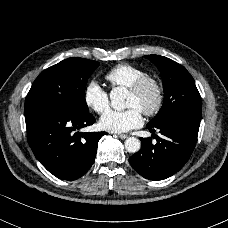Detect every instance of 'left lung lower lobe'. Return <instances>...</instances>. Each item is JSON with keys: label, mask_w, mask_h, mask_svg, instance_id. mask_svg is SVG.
Segmentation results:
<instances>
[{"label": "left lung lower lobe", "mask_w": 228, "mask_h": 228, "mask_svg": "<svg viewBox=\"0 0 228 228\" xmlns=\"http://www.w3.org/2000/svg\"><path fill=\"white\" fill-rule=\"evenodd\" d=\"M201 119L178 115L147 125L151 133L159 129L163 138H140V151L129 158L131 166L144 178L163 180L178 172L190 158L197 142ZM153 136V135H152Z\"/></svg>", "instance_id": "obj_1"}]
</instances>
